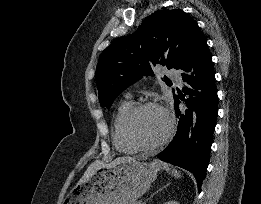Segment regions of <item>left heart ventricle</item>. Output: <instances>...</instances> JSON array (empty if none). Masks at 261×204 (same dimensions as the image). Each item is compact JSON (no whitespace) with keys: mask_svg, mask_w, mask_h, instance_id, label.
<instances>
[{"mask_svg":"<svg viewBox=\"0 0 261 204\" xmlns=\"http://www.w3.org/2000/svg\"><path fill=\"white\" fill-rule=\"evenodd\" d=\"M167 130V119L157 108L143 110L134 120L132 131L135 137L145 144L160 140Z\"/></svg>","mask_w":261,"mask_h":204,"instance_id":"b2bd125f","label":"left heart ventricle"}]
</instances>
